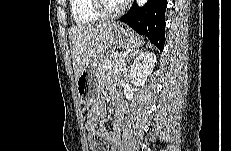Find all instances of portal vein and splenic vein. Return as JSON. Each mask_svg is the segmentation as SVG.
Masks as SVG:
<instances>
[{
    "label": "portal vein and splenic vein",
    "mask_w": 231,
    "mask_h": 151,
    "mask_svg": "<svg viewBox=\"0 0 231 151\" xmlns=\"http://www.w3.org/2000/svg\"><path fill=\"white\" fill-rule=\"evenodd\" d=\"M115 57H127V54L126 53H121V54H116Z\"/></svg>",
    "instance_id": "obj_1"
}]
</instances>
